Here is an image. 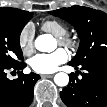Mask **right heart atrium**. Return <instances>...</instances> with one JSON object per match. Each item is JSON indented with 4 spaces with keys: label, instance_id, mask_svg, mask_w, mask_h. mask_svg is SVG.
Returning <instances> with one entry per match:
<instances>
[{
    "label": "right heart atrium",
    "instance_id": "d8ad5b80",
    "mask_svg": "<svg viewBox=\"0 0 107 107\" xmlns=\"http://www.w3.org/2000/svg\"><path fill=\"white\" fill-rule=\"evenodd\" d=\"M34 27L28 23L23 27L19 35V46L24 54H30L34 50Z\"/></svg>",
    "mask_w": 107,
    "mask_h": 107
}]
</instances>
